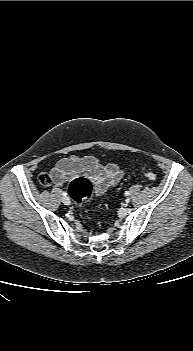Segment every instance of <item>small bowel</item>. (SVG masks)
<instances>
[{"label": "small bowel", "instance_id": "c3829d8e", "mask_svg": "<svg viewBox=\"0 0 193 351\" xmlns=\"http://www.w3.org/2000/svg\"><path fill=\"white\" fill-rule=\"evenodd\" d=\"M81 174L86 175L94 184L97 195L115 186L122 178V171L117 165L102 163L92 156L62 158L51 171V177L57 186H62Z\"/></svg>", "mask_w": 193, "mask_h": 351}]
</instances>
